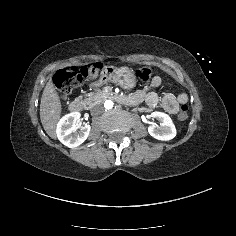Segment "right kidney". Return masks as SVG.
<instances>
[{
    "label": "right kidney",
    "mask_w": 236,
    "mask_h": 236,
    "mask_svg": "<svg viewBox=\"0 0 236 236\" xmlns=\"http://www.w3.org/2000/svg\"><path fill=\"white\" fill-rule=\"evenodd\" d=\"M79 112H72L63 116L57 124V137L62 144L69 148H75L81 145L88 137L90 125L79 126L77 122L80 119ZM80 127V131L77 129Z\"/></svg>",
    "instance_id": "obj_1"
}]
</instances>
